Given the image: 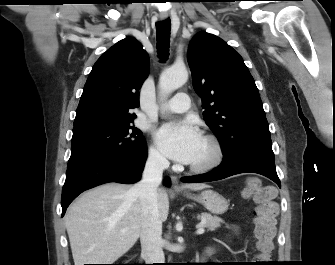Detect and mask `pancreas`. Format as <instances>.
<instances>
[{
  "instance_id": "pancreas-1",
  "label": "pancreas",
  "mask_w": 335,
  "mask_h": 265,
  "mask_svg": "<svg viewBox=\"0 0 335 265\" xmlns=\"http://www.w3.org/2000/svg\"><path fill=\"white\" fill-rule=\"evenodd\" d=\"M201 220H205L204 224L201 226L206 227L210 231H214L216 228L220 227L223 220L217 216H212L209 213H202L200 216Z\"/></svg>"
}]
</instances>
